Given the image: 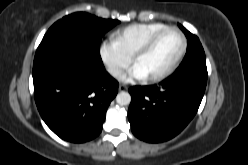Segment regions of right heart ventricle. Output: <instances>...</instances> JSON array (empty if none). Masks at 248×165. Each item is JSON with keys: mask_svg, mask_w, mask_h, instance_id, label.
<instances>
[{"mask_svg": "<svg viewBox=\"0 0 248 165\" xmlns=\"http://www.w3.org/2000/svg\"><path fill=\"white\" fill-rule=\"evenodd\" d=\"M166 26L163 23L157 22L131 24L116 31L114 33V40L132 57L152 34Z\"/></svg>", "mask_w": 248, "mask_h": 165, "instance_id": "right-heart-ventricle-1", "label": "right heart ventricle"}]
</instances>
